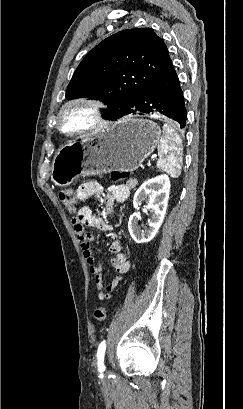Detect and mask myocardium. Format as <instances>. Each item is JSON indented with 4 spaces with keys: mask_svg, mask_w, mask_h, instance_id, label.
Instances as JSON below:
<instances>
[{
    "mask_svg": "<svg viewBox=\"0 0 243 409\" xmlns=\"http://www.w3.org/2000/svg\"><path fill=\"white\" fill-rule=\"evenodd\" d=\"M74 106L84 107L91 116L92 124L89 127L76 132H67L63 129L62 118L64 114ZM106 126L107 121L103 113V104L100 101L90 97L78 96L69 99L62 105L57 115V129L61 134L68 138H76L96 133L103 130Z\"/></svg>",
    "mask_w": 243,
    "mask_h": 409,
    "instance_id": "f54148a6",
    "label": "myocardium"
}]
</instances>
